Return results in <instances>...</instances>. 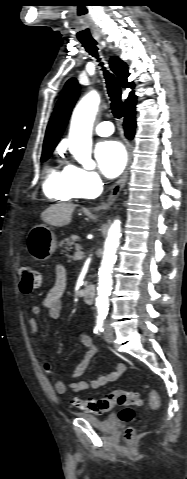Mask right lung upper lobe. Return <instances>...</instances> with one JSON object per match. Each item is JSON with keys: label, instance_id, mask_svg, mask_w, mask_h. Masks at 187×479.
<instances>
[{"label": "right lung upper lobe", "instance_id": "1", "mask_svg": "<svg viewBox=\"0 0 187 479\" xmlns=\"http://www.w3.org/2000/svg\"><path fill=\"white\" fill-rule=\"evenodd\" d=\"M110 66L114 73L117 75L120 85L122 87L134 88L133 82L128 83L127 78L130 75L128 72V66L118 57H113L110 61ZM79 84L75 78L68 80L65 85L63 94L55 108L53 116L49 122L46 130L43 152L54 149L58 140L66 126V123L70 117L72 108L79 96ZM136 104V96L134 91H131L129 97L125 102L126 109L134 107Z\"/></svg>", "mask_w": 187, "mask_h": 479}]
</instances>
